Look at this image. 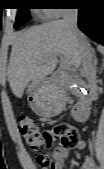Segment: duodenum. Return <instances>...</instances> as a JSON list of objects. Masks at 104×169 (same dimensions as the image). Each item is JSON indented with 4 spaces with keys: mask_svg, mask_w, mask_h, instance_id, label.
<instances>
[{
    "mask_svg": "<svg viewBox=\"0 0 104 169\" xmlns=\"http://www.w3.org/2000/svg\"><path fill=\"white\" fill-rule=\"evenodd\" d=\"M89 102L82 98L73 108V117L76 122H86L89 117L88 111Z\"/></svg>",
    "mask_w": 104,
    "mask_h": 169,
    "instance_id": "1",
    "label": "duodenum"
}]
</instances>
